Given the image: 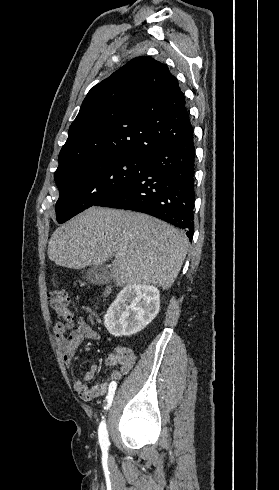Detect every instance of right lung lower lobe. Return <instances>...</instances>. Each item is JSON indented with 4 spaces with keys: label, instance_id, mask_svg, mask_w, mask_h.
Listing matches in <instances>:
<instances>
[{
    "label": "right lung lower lobe",
    "instance_id": "obj_1",
    "mask_svg": "<svg viewBox=\"0 0 279 490\" xmlns=\"http://www.w3.org/2000/svg\"><path fill=\"white\" fill-rule=\"evenodd\" d=\"M144 173L106 195L95 206L143 212L183 230L189 239L194 233L193 135L156 154Z\"/></svg>",
    "mask_w": 279,
    "mask_h": 490
}]
</instances>
